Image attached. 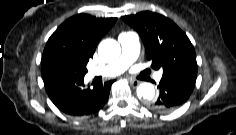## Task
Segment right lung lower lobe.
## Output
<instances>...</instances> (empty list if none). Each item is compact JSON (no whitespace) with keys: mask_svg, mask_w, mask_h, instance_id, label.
Masks as SVG:
<instances>
[{"mask_svg":"<svg viewBox=\"0 0 236 135\" xmlns=\"http://www.w3.org/2000/svg\"><path fill=\"white\" fill-rule=\"evenodd\" d=\"M46 92L54 105L63 113L82 117L97 113L107 102L113 80L94 85H84V75L60 70L42 71Z\"/></svg>","mask_w":236,"mask_h":135,"instance_id":"right-lung-lower-lobe-1","label":"right lung lower lobe"}]
</instances>
